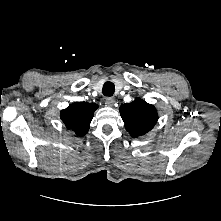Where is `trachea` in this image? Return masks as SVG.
Here are the masks:
<instances>
[{"label":"trachea","instance_id":"trachea-1","mask_svg":"<svg viewBox=\"0 0 221 221\" xmlns=\"http://www.w3.org/2000/svg\"><path fill=\"white\" fill-rule=\"evenodd\" d=\"M115 91V85L112 82H106L103 85V95L105 96H112Z\"/></svg>","mask_w":221,"mask_h":221}]
</instances>
